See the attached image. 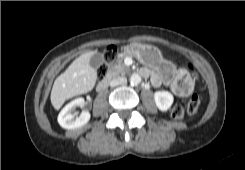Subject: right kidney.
Masks as SVG:
<instances>
[{"label": "right kidney", "mask_w": 245, "mask_h": 170, "mask_svg": "<svg viewBox=\"0 0 245 170\" xmlns=\"http://www.w3.org/2000/svg\"><path fill=\"white\" fill-rule=\"evenodd\" d=\"M85 101L83 98H76L68 103L58 115V123L64 129H75L82 127L90 120V113L83 111L79 116H76L75 109L77 106L83 107Z\"/></svg>", "instance_id": "obj_1"}]
</instances>
